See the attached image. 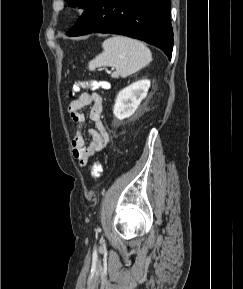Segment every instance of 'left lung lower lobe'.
<instances>
[{
	"mask_svg": "<svg viewBox=\"0 0 243 289\" xmlns=\"http://www.w3.org/2000/svg\"><path fill=\"white\" fill-rule=\"evenodd\" d=\"M171 0H91L83 14L66 33H113L129 36L164 51L171 59L173 31Z\"/></svg>",
	"mask_w": 243,
	"mask_h": 289,
	"instance_id": "left-lung-lower-lobe-1",
	"label": "left lung lower lobe"
}]
</instances>
